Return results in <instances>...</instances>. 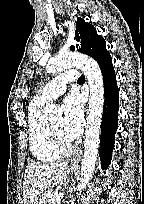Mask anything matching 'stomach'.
Returning a JSON list of instances; mask_svg holds the SVG:
<instances>
[{
	"label": "stomach",
	"instance_id": "stomach-1",
	"mask_svg": "<svg viewBox=\"0 0 144 204\" xmlns=\"http://www.w3.org/2000/svg\"><path fill=\"white\" fill-rule=\"evenodd\" d=\"M68 172L73 173V169H69ZM36 204H39V203H36Z\"/></svg>",
	"mask_w": 144,
	"mask_h": 204
}]
</instances>
